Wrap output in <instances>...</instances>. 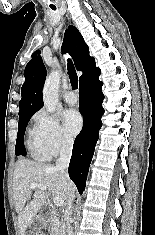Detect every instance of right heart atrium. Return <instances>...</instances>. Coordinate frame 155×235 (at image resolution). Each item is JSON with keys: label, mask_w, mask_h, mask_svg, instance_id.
<instances>
[{"label": "right heart atrium", "mask_w": 155, "mask_h": 235, "mask_svg": "<svg viewBox=\"0 0 155 235\" xmlns=\"http://www.w3.org/2000/svg\"><path fill=\"white\" fill-rule=\"evenodd\" d=\"M33 134L50 156L65 153L73 145V139L65 132L59 120L44 110L34 116Z\"/></svg>", "instance_id": "obj_1"}]
</instances>
